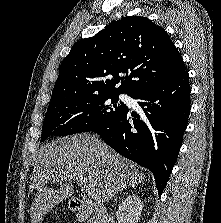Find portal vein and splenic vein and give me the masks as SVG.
I'll return each instance as SVG.
<instances>
[{
	"label": "portal vein and splenic vein",
	"mask_w": 221,
	"mask_h": 223,
	"mask_svg": "<svg viewBox=\"0 0 221 223\" xmlns=\"http://www.w3.org/2000/svg\"><path fill=\"white\" fill-rule=\"evenodd\" d=\"M76 182L80 186L81 190L84 191L88 196H93L94 195V190H93L92 187H90L86 184H83V182L78 180V179H76Z\"/></svg>",
	"instance_id": "18ae733b"
}]
</instances>
